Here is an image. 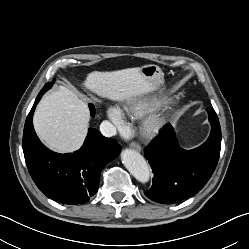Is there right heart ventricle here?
I'll return each mask as SVG.
<instances>
[{"label": "right heart ventricle", "mask_w": 249, "mask_h": 249, "mask_svg": "<svg viewBox=\"0 0 249 249\" xmlns=\"http://www.w3.org/2000/svg\"><path fill=\"white\" fill-rule=\"evenodd\" d=\"M159 101H148V100H141L130 103L123 107L120 112L121 114H127L135 117H140L150 111L154 106L158 105Z\"/></svg>", "instance_id": "obj_1"}]
</instances>
